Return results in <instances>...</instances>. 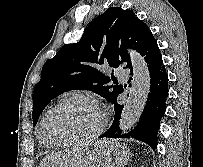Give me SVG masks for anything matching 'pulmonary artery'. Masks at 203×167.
<instances>
[{"label": "pulmonary artery", "instance_id": "obj_1", "mask_svg": "<svg viewBox=\"0 0 203 167\" xmlns=\"http://www.w3.org/2000/svg\"><path fill=\"white\" fill-rule=\"evenodd\" d=\"M115 75L121 80H126L129 77L128 71L122 68H117L115 70Z\"/></svg>", "mask_w": 203, "mask_h": 167}]
</instances>
